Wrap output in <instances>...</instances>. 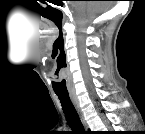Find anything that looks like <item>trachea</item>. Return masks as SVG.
<instances>
[{
    "label": "trachea",
    "mask_w": 145,
    "mask_h": 134,
    "mask_svg": "<svg viewBox=\"0 0 145 134\" xmlns=\"http://www.w3.org/2000/svg\"><path fill=\"white\" fill-rule=\"evenodd\" d=\"M57 96L60 100L66 120H67L69 126L71 127V129L74 130L75 132H83L84 131L83 125L80 121L78 113H77L69 95L57 94Z\"/></svg>",
    "instance_id": "1"
}]
</instances>
